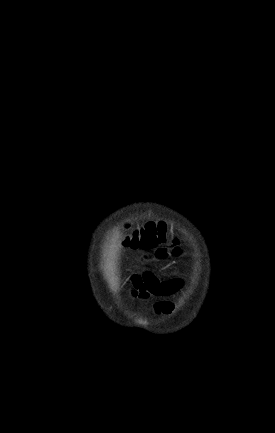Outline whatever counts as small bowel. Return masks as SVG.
Instances as JSON below:
<instances>
[{"label":"small bowel","instance_id":"small-bowel-1","mask_svg":"<svg viewBox=\"0 0 275 433\" xmlns=\"http://www.w3.org/2000/svg\"><path fill=\"white\" fill-rule=\"evenodd\" d=\"M161 252L157 256H161ZM133 295L140 299L149 297L169 298L174 296L182 287V281L176 278H161L150 270H144L132 277ZM172 309L170 302L161 301L156 304V310L169 313Z\"/></svg>","mask_w":275,"mask_h":433}]
</instances>
